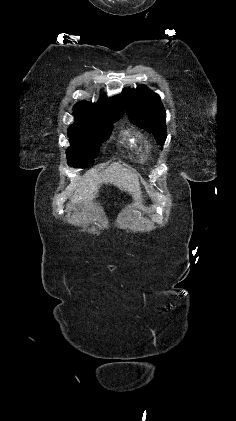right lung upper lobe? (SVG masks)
<instances>
[{"instance_id": "obj_1", "label": "right lung upper lobe", "mask_w": 236, "mask_h": 421, "mask_svg": "<svg viewBox=\"0 0 236 421\" xmlns=\"http://www.w3.org/2000/svg\"><path fill=\"white\" fill-rule=\"evenodd\" d=\"M74 109H106V110H123L124 111V97L118 95L106 100H99L97 103L82 101L74 106Z\"/></svg>"}]
</instances>
